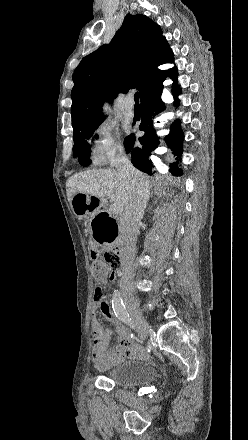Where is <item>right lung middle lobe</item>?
Here are the masks:
<instances>
[{"label": "right lung middle lobe", "instance_id": "1", "mask_svg": "<svg viewBox=\"0 0 248 440\" xmlns=\"http://www.w3.org/2000/svg\"><path fill=\"white\" fill-rule=\"evenodd\" d=\"M96 129L85 131L73 136L74 146H73V157H78L79 162L83 166H88L90 164V152L91 146L88 140L92 137ZM127 143V138H125L124 146Z\"/></svg>", "mask_w": 248, "mask_h": 440}]
</instances>
